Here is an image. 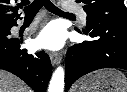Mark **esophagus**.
<instances>
[{
	"mask_svg": "<svg viewBox=\"0 0 127 92\" xmlns=\"http://www.w3.org/2000/svg\"><path fill=\"white\" fill-rule=\"evenodd\" d=\"M49 57H50L51 63H52L53 65H57V64L60 63V61H61V56H60L58 53H53V52H51V53L49 54Z\"/></svg>",
	"mask_w": 127,
	"mask_h": 92,
	"instance_id": "esophagus-1",
	"label": "esophagus"
}]
</instances>
